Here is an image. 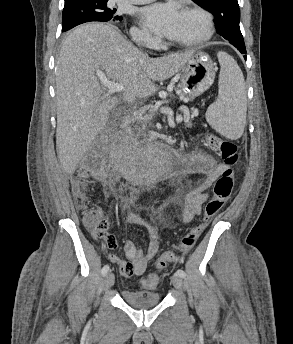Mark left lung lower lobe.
Here are the masks:
<instances>
[{
  "label": "left lung lower lobe",
  "mask_w": 293,
  "mask_h": 344,
  "mask_svg": "<svg viewBox=\"0 0 293 344\" xmlns=\"http://www.w3.org/2000/svg\"><path fill=\"white\" fill-rule=\"evenodd\" d=\"M241 53L245 54L246 53V48L245 45H234ZM246 59V56H245Z\"/></svg>",
  "instance_id": "obj_1"
}]
</instances>
